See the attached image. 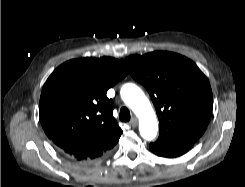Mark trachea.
Wrapping results in <instances>:
<instances>
[{
  "instance_id": "3493384b",
  "label": "trachea",
  "mask_w": 245,
  "mask_h": 187,
  "mask_svg": "<svg viewBox=\"0 0 245 187\" xmlns=\"http://www.w3.org/2000/svg\"><path fill=\"white\" fill-rule=\"evenodd\" d=\"M119 118L122 122H128L131 118L130 111L127 107H122L119 112Z\"/></svg>"
}]
</instances>
